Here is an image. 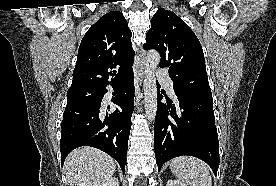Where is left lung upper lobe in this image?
Returning a JSON list of instances; mask_svg holds the SVG:
<instances>
[{
	"mask_svg": "<svg viewBox=\"0 0 276 186\" xmlns=\"http://www.w3.org/2000/svg\"><path fill=\"white\" fill-rule=\"evenodd\" d=\"M143 47L160 53L176 94L212 97L201 44L175 13L161 8L154 14Z\"/></svg>",
	"mask_w": 276,
	"mask_h": 186,
	"instance_id": "1",
	"label": "left lung upper lobe"
}]
</instances>
